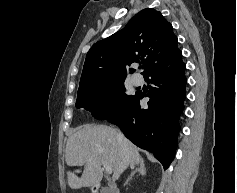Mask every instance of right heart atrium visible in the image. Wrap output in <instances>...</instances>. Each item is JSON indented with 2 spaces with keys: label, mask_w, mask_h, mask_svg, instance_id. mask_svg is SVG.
Instances as JSON below:
<instances>
[{
  "label": "right heart atrium",
  "mask_w": 237,
  "mask_h": 193,
  "mask_svg": "<svg viewBox=\"0 0 237 193\" xmlns=\"http://www.w3.org/2000/svg\"><path fill=\"white\" fill-rule=\"evenodd\" d=\"M106 102V100H103L102 103L104 104Z\"/></svg>",
  "instance_id": "right-heart-atrium-1"
}]
</instances>
